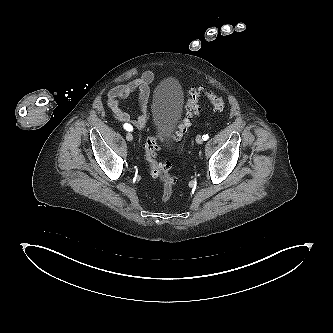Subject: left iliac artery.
I'll use <instances>...</instances> for the list:
<instances>
[{"label":"left iliac artery","mask_w":333,"mask_h":333,"mask_svg":"<svg viewBox=\"0 0 333 333\" xmlns=\"http://www.w3.org/2000/svg\"><path fill=\"white\" fill-rule=\"evenodd\" d=\"M208 138H209L208 134H205V135L202 136V139H203L204 141L208 140Z\"/></svg>","instance_id":"obj_1"}]
</instances>
